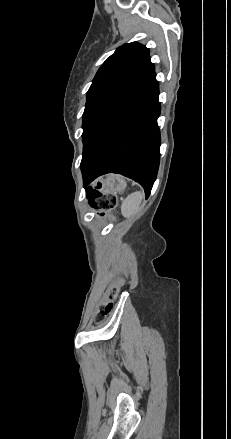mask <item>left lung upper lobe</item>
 Wrapping results in <instances>:
<instances>
[{
    "instance_id": "1",
    "label": "left lung upper lobe",
    "mask_w": 231,
    "mask_h": 439,
    "mask_svg": "<svg viewBox=\"0 0 231 439\" xmlns=\"http://www.w3.org/2000/svg\"><path fill=\"white\" fill-rule=\"evenodd\" d=\"M154 72L149 49L144 45L132 42L116 49L99 68L87 92L82 137Z\"/></svg>"
}]
</instances>
